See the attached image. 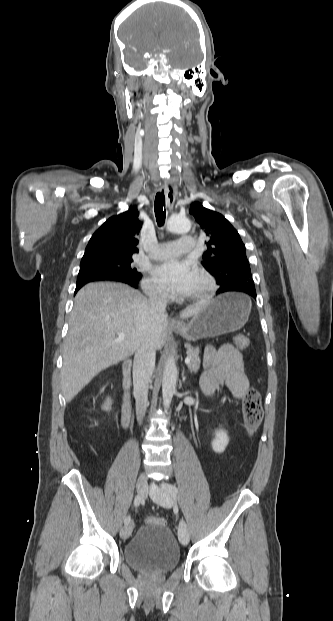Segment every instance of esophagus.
<instances>
[{
  "label": "esophagus",
  "mask_w": 333,
  "mask_h": 621,
  "mask_svg": "<svg viewBox=\"0 0 333 621\" xmlns=\"http://www.w3.org/2000/svg\"><path fill=\"white\" fill-rule=\"evenodd\" d=\"M177 184L173 183L172 181L167 182L165 184V196H166V204L168 206L169 209L173 208L175 199H176V195H177ZM170 324L172 326H181L182 325V321L175 318L174 316H171L170 318Z\"/></svg>",
  "instance_id": "esophagus-1"
}]
</instances>
